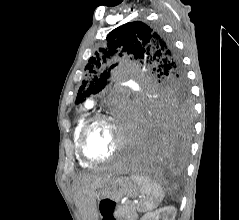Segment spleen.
Listing matches in <instances>:
<instances>
[{
    "instance_id": "spleen-1",
    "label": "spleen",
    "mask_w": 239,
    "mask_h": 220,
    "mask_svg": "<svg viewBox=\"0 0 239 220\" xmlns=\"http://www.w3.org/2000/svg\"><path fill=\"white\" fill-rule=\"evenodd\" d=\"M131 180L138 184L142 199L137 204L139 212H146L155 209L164 198L162 187L150 177L132 174Z\"/></svg>"
}]
</instances>
